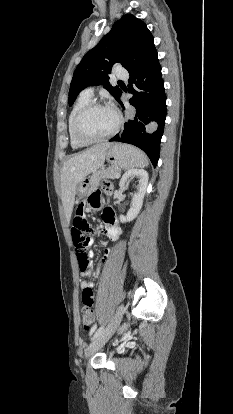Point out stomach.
<instances>
[{
	"label": "stomach",
	"mask_w": 233,
	"mask_h": 414,
	"mask_svg": "<svg viewBox=\"0 0 233 414\" xmlns=\"http://www.w3.org/2000/svg\"><path fill=\"white\" fill-rule=\"evenodd\" d=\"M145 155L137 148L125 144H112L106 152V160L112 167L118 168H132L138 166ZM86 182H89V177H84V181H80L76 188V193L79 197H85L88 194V187Z\"/></svg>",
	"instance_id": "stomach-1"
}]
</instances>
